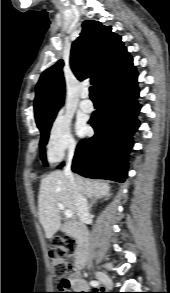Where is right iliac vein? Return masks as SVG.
<instances>
[{"mask_svg": "<svg viewBox=\"0 0 170 293\" xmlns=\"http://www.w3.org/2000/svg\"><path fill=\"white\" fill-rule=\"evenodd\" d=\"M97 279L103 283L106 287L110 288L112 286V280L110 279V277L102 272H96L95 273Z\"/></svg>", "mask_w": 170, "mask_h": 293, "instance_id": "1", "label": "right iliac vein"}]
</instances>
